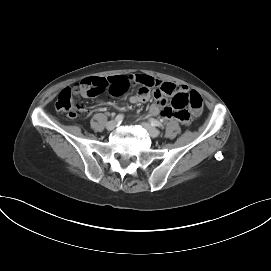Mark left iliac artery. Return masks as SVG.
<instances>
[{
    "label": "left iliac artery",
    "mask_w": 271,
    "mask_h": 271,
    "mask_svg": "<svg viewBox=\"0 0 271 271\" xmlns=\"http://www.w3.org/2000/svg\"><path fill=\"white\" fill-rule=\"evenodd\" d=\"M150 123L152 126H157L159 128H163V124L161 122H159L158 120L154 119V118H150L149 119Z\"/></svg>",
    "instance_id": "left-iliac-artery-1"
}]
</instances>
